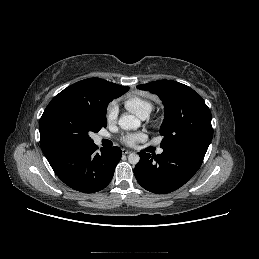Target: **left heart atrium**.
I'll return each mask as SVG.
<instances>
[{
    "label": "left heart atrium",
    "mask_w": 259,
    "mask_h": 259,
    "mask_svg": "<svg viewBox=\"0 0 259 259\" xmlns=\"http://www.w3.org/2000/svg\"><path fill=\"white\" fill-rule=\"evenodd\" d=\"M143 137V134H128L123 138V142L126 145L132 146L134 145L139 139Z\"/></svg>",
    "instance_id": "left-heart-atrium-1"
}]
</instances>
